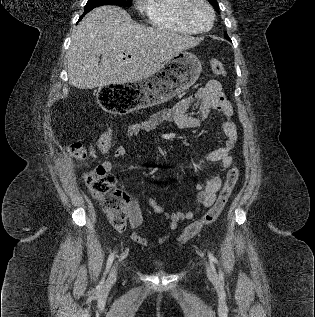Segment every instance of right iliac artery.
Returning <instances> with one entry per match:
<instances>
[{"instance_id":"right-iliac-artery-1","label":"right iliac artery","mask_w":315,"mask_h":317,"mask_svg":"<svg viewBox=\"0 0 315 317\" xmlns=\"http://www.w3.org/2000/svg\"><path fill=\"white\" fill-rule=\"evenodd\" d=\"M114 256H115V253H111V255L109 256V258L107 260L106 270H105L102 282L104 281L106 274L109 272V270L111 268V265H112L113 260H114Z\"/></svg>"}]
</instances>
